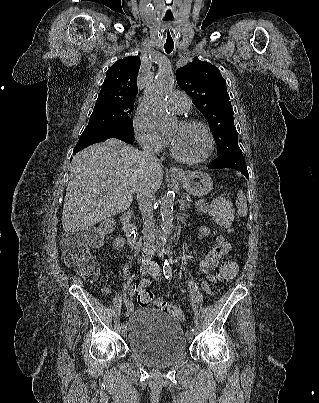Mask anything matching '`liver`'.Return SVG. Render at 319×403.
<instances>
[{
    "instance_id": "6515ba94",
    "label": "liver",
    "mask_w": 319,
    "mask_h": 403,
    "mask_svg": "<svg viewBox=\"0 0 319 403\" xmlns=\"http://www.w3.org/2000/svg\"><path fill=\"white\" fill-rule=\"evenodd\" d=\"M148 176L157 190L163 180L161 166L149 169L142 152L118 139L80 151L73 158L64 199V231H81L125 211Z\"/></svg>"
}]
</instances>
